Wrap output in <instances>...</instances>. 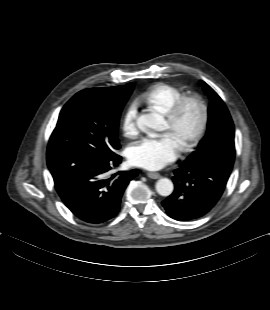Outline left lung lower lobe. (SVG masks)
<instances>
[{"mask_svg":"<svg viewBox=\"0 0 270 310\" xmlns=\"http://www.w3.org/2000/svg\"><path fill=\"white\" fill-rule=\"evenodd\" d=\"M230 173L203 164H182L174 171V192L162 202L167 214L178 221L206 215L220 199Z\"/></svg>","mask_w":270,"mask_h":310,"instance_id":"1","label":"left lung lower lobe"}]
</instances>
